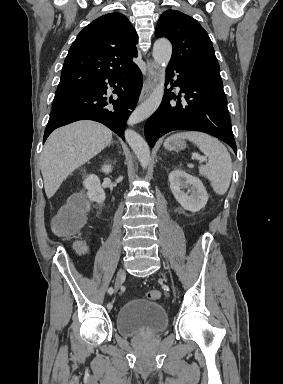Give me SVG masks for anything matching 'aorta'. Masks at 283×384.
<instances>
[{"label":"aorta","mask_w":283,"mask_h":384,"mask_svg":"<svg viewBox=\"0 0 283 384\" xmlns=\"http://www.w3.org/2000/svg\"><path fill=\"white\" fill-rule=\"evenodd\" d=\"M172 55V45L167 39H158L153 46V58L160 67L158 83L149 98L138 106L129 117V126L148 119L160 106L164 95L165 69ZM125 138L137 156L140 165L146 169L150 162V150L146 141L134 130L127 129Z\"/></svg>","instance_id":"1"}]
</instances>
